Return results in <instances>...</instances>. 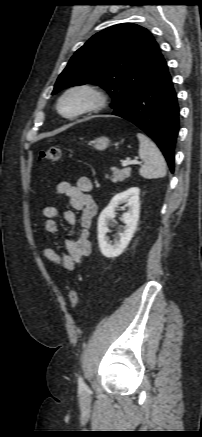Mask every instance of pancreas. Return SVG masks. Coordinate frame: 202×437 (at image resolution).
<instances>
[{
	"label": "pancreas",
	"instance_id": "cf45deb5",
	"mask_svg": "<svg viewBox=\"0 0 202 437\" xmlns=\"http://www.w3.org/2000/svg\"><path fill=\"white\" fill-rule=\"evenodd\" d=\"M111 171H112V175L111 176L106 175V178L110 179L114 183L124 181L126 178L130 177V173H131L130 168L119 170L116 167H112Z\"/></svg>",
	"mask_w": 202,
	"mask_h": 437
}]
</instances>
